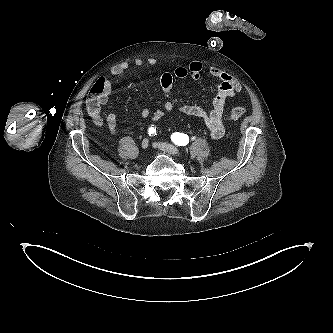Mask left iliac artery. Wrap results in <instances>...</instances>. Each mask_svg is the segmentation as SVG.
Segmentation results:
<instances>
[{
  "instance_id": "44dca946",
  "label": "left iliac artery",
  "mask_w": 333,
  "mask_h": 333,
  "mask_svg": "<svg viewBox=\"0 0 333 333\" xmlns=\"http://www.w3.org/2000/svg\"><path fill=\"white\" fill-rule=\"evenodd\" d=\"M171 140L175 145H178V146H186L189 143L188 135H186L184 133H179V132L173 133L171 135Z\"/></svg>"
}]
</instances>
